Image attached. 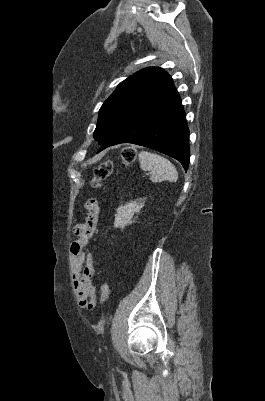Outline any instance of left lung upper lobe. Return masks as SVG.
<instances>
[{"label":"left lung upper lobe","instance_id":"left-lung-upper-lobe-1","mask_svg":"<svg viewBox=\"0 0 265 401\" xmlns=\"http://www.w3.org/2000/svg\"><path fill=\"white\" fill-rule=\"evenodd\" d=\"M172 85L171 77L158 67L142 69L121 82L100 108L94 131L96 141L103 144L136 112Z\"/></svg>","mask_w":265,"mask_h":401}]
</instances>
